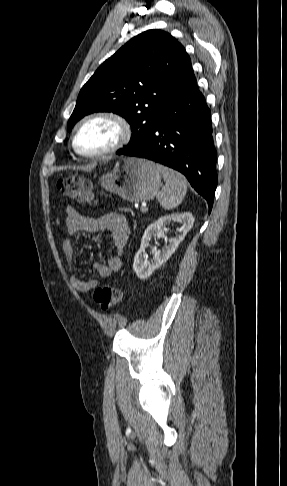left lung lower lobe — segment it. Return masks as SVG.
Masks as SVG:
<instances>
[{
    "mask_svg": "<svg viewBox=\"0 0 287 486\" xmlns=\"http://www.w3.org/2000/svg\"><path fill=\"white\" fill-rule=\"evenodd\" d=\"M117 154L146 158L183 173L211 210L217 187L211 113L193 76L168 101L136 147Z\"/></svg>",
    "mask_w": 287,
    "mask_h": 486,
    "instance_id": "obj_1",
    "label": "left lung lower lobe"
}]
</instances>
